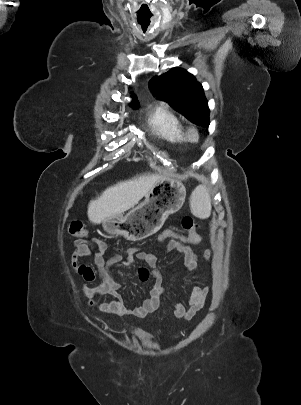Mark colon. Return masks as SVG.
<instances>
[{"mask_svg":"<svg viewBox=\"0 0 301 405\" xmlns=\"http://www.w3.org/2000/svg\"><path fill=\"white\" fill-rule=\"evenodd\" d=\"M182 227L186 230L187 234L181 238V245H187L189 247L195 248L198 247L203 240L202 237L198 234V223L195 222L191 217L186 216L182 219ZM68 231L72 236L79 238L86 235L84 225L79 220L70 221Z\"/></svg>","mask_w":301,"mask_h":405,"instance_id":"obj_1","label":"colon"}]
</instances>
